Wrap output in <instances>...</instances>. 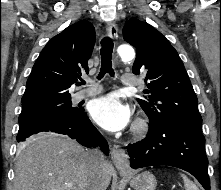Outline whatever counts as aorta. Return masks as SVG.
<instances>
[{
    "label": "aorta",
    "mask_w": 221,
    "mask_h": 190,
    "mask_svg": "<svg viewBox=\"0 0 221 190\" xmlns=\"http://www.w3.org/2000/svg\"><path fill=\"white\" fill-rule=\"evenodd\" d=\"M117 53L123 61H131L135 58V51L130 45L119 46Z\"/></svg>",
    "instance_id": "762f6f07"
}]
</instances>
